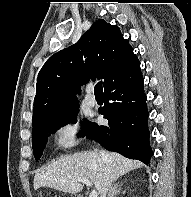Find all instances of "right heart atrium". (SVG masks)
I'll use <instances>...</instances> for the list:
<instances>
[{
	"instance_id": "1",
	"label": "right heart atrium",
	"mask_w": 191,
	"mask_h": 197,
	"mask_svg": "<svg viewBox=\"0 0 191 197\" xmlns=\"http://www.w3.org/2000/svg\"><path fill=\"white\" fill-rule=\"evenodd\" d=\"M81 128L78 119L70 118L57 124L54 130L56 149L66 151L74 147L80 139Z\"/></svg>"
}]
</instances>
